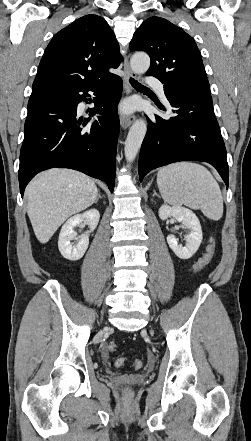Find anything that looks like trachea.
I'll list each match as a JSON object with an SVG mask.
<instances>
[{
  "label": "trachea",
  "mask_w": 251,
  "mask_h": 441,
  "mask_svg": "<svg viewBox=\"0 0 251 441\" xmlns=\"http://www.w3.org/2000/svg\"><path fill=\"white\" fill-rule=\"evenodd\" d=\"M130 83H131L132 86H134V87H138V88H144V89H146L145 86H143L142 84H140L138 81H136V80L133 79V78H130Z\"/></svg>",
  "instance_id": "obj_1"
}]
</instances>
